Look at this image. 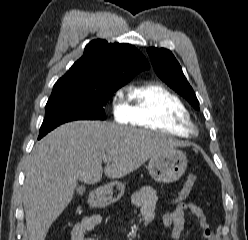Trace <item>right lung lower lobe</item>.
Masks as SVG:
<instances>
[{"label": "right lung lower lobe", "mask_w": 248, "mask_h": 240, "mask_svg": "<svg viewBox=\"0 0 248 240\" xmlns=\"http://www.w3.org/2000/svg\"><path fill=\"white\" fill-rule=\"evenodd\" d=\"M49 132H50V131H49ZM47 133H48V132H41V133L39 134L38 139L42 138V137L45 136Z\"/></svg>", "instance_id": "right-lung-lower-lobe-1"}]
</instances>
